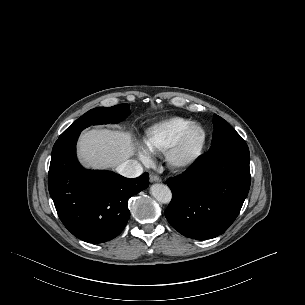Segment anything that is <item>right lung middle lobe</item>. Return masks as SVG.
<instances>
[{"label":"right lung middle lobe","mask_w":305,"mask_h":305,"mask_svg":"<svg viewBox=\"0 0 305 305\" xmlns=\"http://www.w3.org/2000/svg\"><path fill=\"white\" fill-rule=\"evenodd\" d=\"M130 114L128 104H120L113 107H98L86 112L77 119L61 135V138L68 137L90 125L118 123Z\"/></svg>","instance_id":"right-lung-middle-lobe-1"}]
</instances>
